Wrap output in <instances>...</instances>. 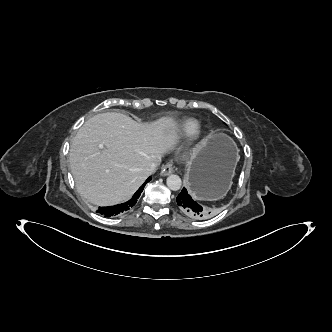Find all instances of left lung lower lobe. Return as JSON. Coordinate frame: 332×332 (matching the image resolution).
<instances>
[{
	"instance_id": "1",
	"label": "left lung lower lobe",
	"mask_w": 332,
	"mask_h": 332,
	"mask_svg": "<svg viewBox=\"0 0 332 332\" xmlns=\"http://www.w3.org/2000/svg\"><path fill=\"white\" fill-rule=\"evenodd\" d=\"M176 200L181 210L193 219L203 220L211 216L208 210L203 209L202 206L192 199L185 188L182 189Z\"/></svg>"
}]
</instances>
